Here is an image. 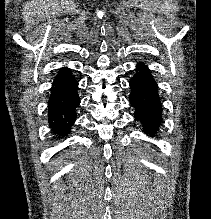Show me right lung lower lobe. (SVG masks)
<instances>
[{
	"instance_id": "1",
	"label": "right lung lower lobe",
	"mask_w": 211,
	"mask_h": 219,
	"mask_svg": "<svg viewBox=\"0 0 211 219\" xmlns=\"http://www.w3.org/2000/svg\"><path fill=\"white\" fill-rule=\"evenodd\" d=\"M78 83L68 68H62L52 84L48 102V123L52 133L64 137L76 119V107L80 104Z\"/></svg>"
}]
</instances>
